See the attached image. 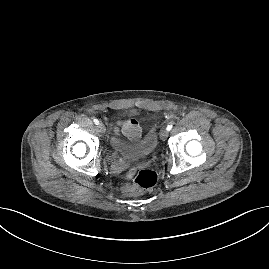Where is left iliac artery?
<instances>
[{"mask_svg": "<svg viewBox=\"0 0 269 269\" xmlns=\"http://www.w3.org/2000/svg\"><path fill=\"white\" fill-rule=\"evenodd\" d=\"M172 127H173V124H169V125L167 126L166 130H167V131H170V130L172 129Z\"/></svg>", "mask_w": 269, "mask_h": 269, "instance_id": "obj_1", "label": "left iliac artery"}]
</instances>
